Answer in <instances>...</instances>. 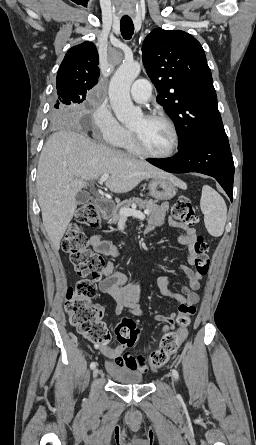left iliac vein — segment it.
Returning <instances> with one entry per match:
<instances>
[{"label": "left iliac vein", "mask_w": 256, "mask_h": 445, "mask_svg": "<svg viewBox=\"0 0 256 445\" xmlns=\"http://www.w3.org/2000/svg\"><path fill=\"white\" fill-rule=\"evenodd\" d=\"M172 377L176 380V378L174 377V375L172 374Z\"/></svg>", "instance_id": "1"}]
</instances>
